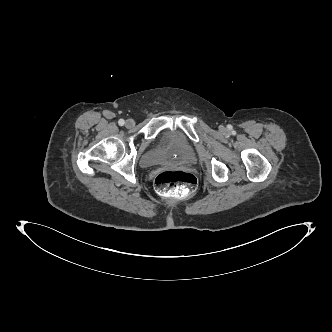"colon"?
<instances>
[{"instance_id":"1","label":"colon","mask_w":332,"mask_h":332,"mask_svg":"<svg viewBox=\"0 0 332 332\" xmlns=\"http://www.w3.org/2000/svg\"><path fill=\"white\" fill-rule=\"evenodd\" d=\"M154 187L162 195L182 198L196 190L197 180L187 171L165 170L155 175Z\"/></svg>"}]
</instances>
